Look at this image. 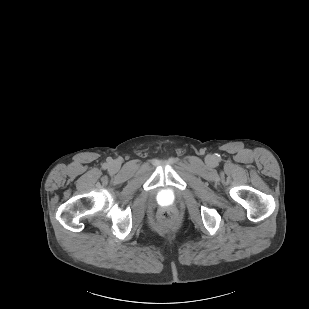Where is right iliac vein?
I'll list each match as a JSON object with an SVG mask.
<instances>
[{"label":"right iliac vein","instance_id":"right-iliac-vein-1","mask_svg":"<svg viewBox=\"0 0 309 309\" xmlns=\"http://www.w3.org/2000/svg\"><path fill=\"white\" fill-rule=\"evenodd\" d=\"M119 168H120V164H119V162H117V161H114V162H112V163L110 164V169H111L113 172L118 171Z\"/></svg>","mask_w":309,"mask_h":309}]
</instances>
